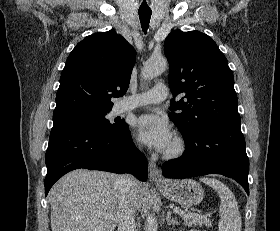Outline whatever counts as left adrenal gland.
Here are the masks:
<instances>
[{"label":"left adrenal gland","mask_w":280,"mask_h":231,"mask_svg":"<svg viewBox=\"0 0 280 231\" xmlns=\"http://www.w3.org/2000/svg\"><path fill=\"white\" fill-rule=\"evenodd\" d=\"M166 221L168 225H179L181 221H177V217H172L171 211H167Z\"/></svg>","instance_id":"left-adrenal-gland-1"}]
</instances>
